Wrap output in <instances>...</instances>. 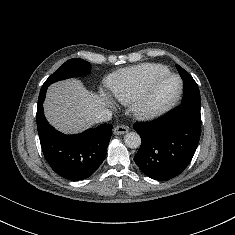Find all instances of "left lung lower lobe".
<instances>
[{"label": "left lung lower lobe", "instance_id": "1", "mask_svg": "<svg viewBox=\"0 0 235 235\" xmlns=\"http://www.w3.org/2000/svg\"><path fill=\"white\" fill-rule=\"evenodd\" d=\"M183 92L191 93V80L182 77ZM201 102L182 101L175 109L133 128L141 137L134 160L148 177L165 181L179 175L191 162L201 133Z\"/></svg>", "mask_w": 235, "mask_h": 235}]
</instances>
